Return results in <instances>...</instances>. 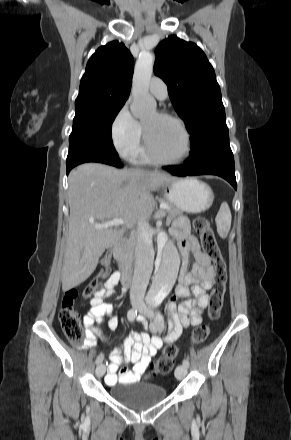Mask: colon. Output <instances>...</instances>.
I'll return each instance as SVG.
<instances>
[{
	"mask_svg": "<svg viewBox=\"0 0 291 440\" xmlns=\"http://www.w3.org/2000/svg\"><path fill=\"white\" fill-rule=\"evenodd\" d=\"M196 233L200 235L203 251L212 260L215 268L211 298L209 300V315L217 319L223 304V296L227 280V268L220 247L216 241L210 222L204 217H196L193 221ZM111 256L104 257L98 277L90 285L82 290L81 297L90 298L102 291V282L108 276ZM79 296L77 289H69L62 300V308L59 312V323L64 335L71 343H81L85 340V333L79 321V314L75 309V302ZM209 328L206 325L199 326L192 337L193 343H199L207 338ZM179 353V347L169 344L165 347L158 366L152 371L160 374L168 373L172 363Z\"/></svg>",
	"mask_w": 291,
	"mask_h": 440,
	"instance_id": "colon-1",
	"label": "colon"
}]
</instances>
